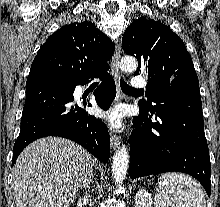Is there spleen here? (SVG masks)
I'll return each instance as SVG.
<instances>
[{
    "mask_svg": "<svg viewBox=\"0 0 220 207\" xmlns=\"http://www.w3.org/2000/svg\"><path fill=\"white\" fill-rule=\"evenodd\" d=\"M156 207H206L201 185L190 176L176 172L160 177L155 194Z\"/></svg>",
    "mask_w": 220,
    "mask_h": 207,
    "instance_id": "spleen-1",
    "label": "spleen"
}]
</instances>
